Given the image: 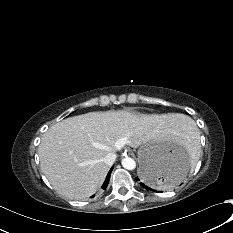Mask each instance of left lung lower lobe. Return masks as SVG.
<instances>
[{"mask_svg":"<svg viewBox=\"0 0 233 233\" xmlns=\"http://www.w3.org/2000/svg\"><path fill=\"white\" fill-rule=\"evenodd\" d=\"M181 175V160L170 158L148 163L140 179L138 177L136 179L141 180L140 185L146 190L158 192L156 189H164L179 182Z\"/></svg>","mask_w":233,"mask_h":233,"instance_id":"0a47b994","label":"left lung lower lobe"}]
</instances>
